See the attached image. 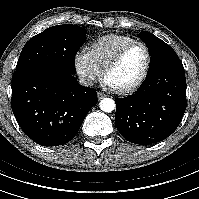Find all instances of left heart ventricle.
<instances>
[{
	"label": "left heart ventricle",
	"instance_id": "b2bd125f",
	"mask_svg": "<svg viewBox=\"0 0 199 199\" xmlns=\"http://www.w3.org/2000/svg\"><path fill=\"white\" fill-rule=\"evenodd\" d=\"M147 61L144 48L135 45L124 55L120 64L110 71L105 80L113 88H121L134 83L142 74Z\"/></svg>",
	"mask_w": 199,
	"mask_h": 199
}]
</instances>
